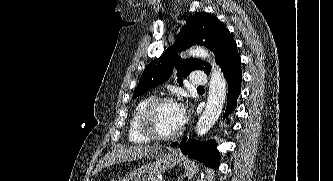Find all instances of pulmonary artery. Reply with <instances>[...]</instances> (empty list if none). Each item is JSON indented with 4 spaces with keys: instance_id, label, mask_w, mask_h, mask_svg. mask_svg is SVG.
I'll list each match as a JSON object with an SVG mask.
<instances>
[{
    "instance_id": "pulmonary-artery-1",
    "label": "pulmonary artery",
    "mask_w": 333,
    "mask_h": 181,
    "mask_svg": "<svg viewBox=\"0 0 333 181\" xmlns=\"http://www.w3.org/2000/svg\"><path fill=\"white\" fill-rule=\"evenodd\" d=\"M191 83L197 86H203L207 83V76L202 71H197L193 73L191 78Z\"/></svg>"
}]
</instances>
